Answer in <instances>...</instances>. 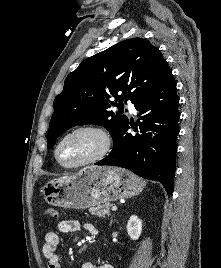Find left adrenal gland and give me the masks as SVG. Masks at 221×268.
I'll return each mask as SVG.
<instances>
[{
    "instance_id": "obj_1",
    "label": "left adrenal gland",
    "mask_w": 221,
    "mask_h": 268,
    "mask_svg": "<svg viewBox=\"0 0 221 268\" xmlns=\"http://www.w3.org/2000/svg\"><path fill=\"white\" fill-rule=\"evenodd\" d=\"M112 223H113V217L111 218V221H110V226H112Z\"/></svg>"
}]
</instances>
